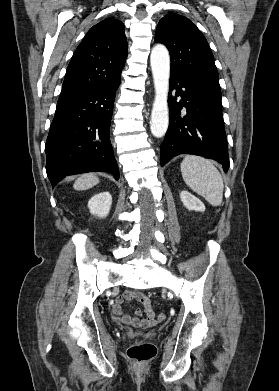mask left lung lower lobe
<instances>
[{
    "mask_svg": "<svg viewBox=\"0 0 279 391\" xmlns=\"http://www.w3.org/2000/svg\"><path fill=\"white\" fill-rule=\"evenodd\" d=\"M168 105L170 121L160 146L161 166L179 154H193L218 161L226 172L229 156L221 97L171 74Z\"/></svg>",
    "mask_w": 279,
    "mask_h": 391,
    "instance_id": "left-lung-lower-lobe-1",
    "label": "left lung lower lobe"
}]
</instances>
